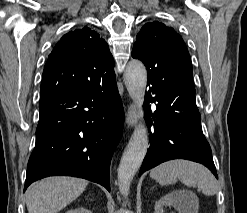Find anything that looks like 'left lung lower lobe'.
<instances>
[{"label": "left lung lower lobe", "mask_w": 247, "mask_h": 213, "mask_svg": "<svg viewBox=\"0 0 247 213\" xmlns=\"http://www.w3.org/2000/svg\"><path fill=\"white\" fill-rule=\"evenodd\" d=\"M145 119L150 146L139 176L168 160L187 159L205 165L216 178L212 152L201 127L193 81L181 72L148 75ZM156 102V103H155ZM150 103L156 110L151 112Z\"/></svg>", "instance_id": "obj_1"}]
</instances>
